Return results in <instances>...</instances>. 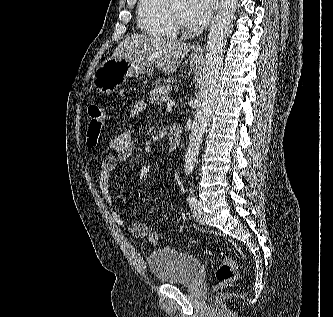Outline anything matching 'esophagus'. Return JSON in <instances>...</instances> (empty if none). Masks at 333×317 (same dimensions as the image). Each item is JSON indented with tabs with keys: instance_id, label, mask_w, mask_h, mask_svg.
<instances>
[{
	"instance_id": "obj_1",
	"label": "esophagus",
	"mask_w": 333,
	"mask_h": 317,
	"mask_svg": "<svg viewBox=\"0 0 333 317\" xmlns=\"http://www.w3.org/2000/svg\"><path fill=\"white\" fill-rule=\"evenodd\" d=\"M202 55H203V50H202V48H201V47L196 48V50H195V52H194V58H195V59H199V58L202 57Z\"/></svg>"
}]
</instances>
